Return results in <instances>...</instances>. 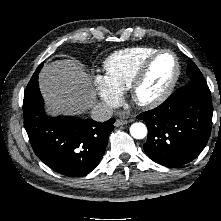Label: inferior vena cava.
Returning <instances> with one entry per match:
<instances>
[{
  "instance_id": "inferior-vena-cava-1",
  "label": "inferior vena cava",
  "mask_w": 221,
  "mask_h": 221,
  "mask_svg": "<svg viewBox=\"0 0 221 221\" xmlns=\"http://www.w3.org/2000/svg\"><path fill=\"white\" fill-rule=\"evenodd\" d=\"M113 116V108L104 103H97L91 111V117L98 122L109 120Z\"/></svg>"
}]
</instances>
